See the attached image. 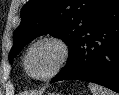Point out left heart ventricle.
<instances>
[{
    "mask_svg": "<svg viewBox=\"0 0 119 95\" xmlns=\"http://www.w3.org/2000/svg\"><path fill=\"white\" fill-rule=\"evenodd\" d=\"M60 49L53 43H41L34 47L28 57L29 71L35 76H45L56 66Z\"/></svg>",
    "mask_w": 119,
    "mask_h": 95,
    "instance_id": "left-heart-ventricle-1",
    "label": "left heart ventricle"
}]
</instances>
